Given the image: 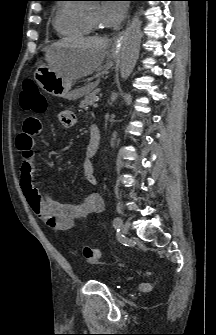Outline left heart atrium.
I'll list each match as a JSON object with an SVG mask.
<instances>
[{"label":"left heart atrium","mask_w":216,"mask_h":335,"mask_svg":"<svg viewBox=\"0 0 216 335\" xmlns=\"http://www.w3.org/2000/svg\"><path fill=\"white\" fill-rule=\"evenodd\" d=\"M126 5L119 1H104L99 10V20L106 28H116L126 14Z\"/></svg>","instance_id":"left-heart-atrium-1"}]
</instances>
